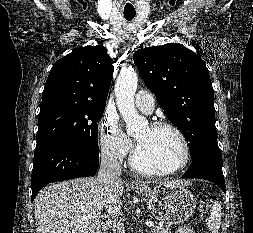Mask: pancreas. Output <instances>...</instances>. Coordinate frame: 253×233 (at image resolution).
Returning a JSON list of instances; mask_svg holds the SVG:
<instances>
[{"label": "pancreas", "instance_id": "cf45deb5", "mask_svg": "<svg viewBox=\"0 0 253 233\" xmlns=\"http://www.w3.org/2000/svg\"><path fill=\"white\" fill-rule=\"evenodd\" d=\"M152 233H172L170 226H163L161 224H154L152 229ZM113 233H125L124 225L121 223V221L116 222L113 225Z\"/></svg>", "mask_w": 253, "mask_h": 233}]
</instances>
